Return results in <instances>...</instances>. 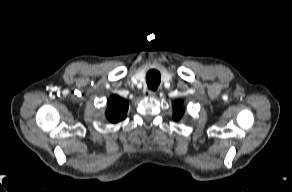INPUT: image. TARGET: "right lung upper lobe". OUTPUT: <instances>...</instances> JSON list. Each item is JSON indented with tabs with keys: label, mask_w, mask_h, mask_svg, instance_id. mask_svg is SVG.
<instances>
[{
	"label": "right lung upper lobe",
	"mask_w": 292,
	"mask_h": 192,
	"mask_svg": "<svg viewBox=\"0 0 292 192\" xmlns=\"http://www.w3.org/2000/svg\"><path fill=\"white\" fill-rule=\"evenodd\" d=\"M106 118L111 123H117L126 118V113L129 107L127 100L120 98L118 95H112L107 102Z\"/></svg>",
	"instance_id": "obj_1"
}]
</instances>
